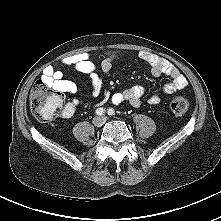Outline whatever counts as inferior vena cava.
Masks as SVG:
<instances>
[{
	"label": "inferior vena cava",
	"mask_w": 221,
	"mask_h": 221,
	"mask_svg": "<svg viewBox=\"0 0 221 221\" xmlns=\"http://www.w3.org/2000/svg\"><path fill=\"white\" fill-rule=\"evenodd\" d=\"M101 119H102V122H105V121H106V118H105V117H102Z\"/></svg>",
	"instance_id": "obj_1"
}]
</instances>
